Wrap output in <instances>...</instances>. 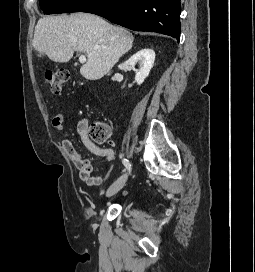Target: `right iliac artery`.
I'll return each instance as SVG.
<instances>
[{
    "label": "right iliac artery",
    "mask_w": 255,
    "mask_h": 272,
    "mask_svg": "<svg viewBox=\"0 0 255 272\" xmlns=\"http://www.w3.org/2000/svg\"><path fill=\"white\" fill-rule=\"evenodd\" d=\"M122 163H123V165L126 167V169H128L129 170V172L131 171V164H130V162L127 160V159H123L122 160Z\"/></svg>",
    "instance_id": "82829eb1"
}]
</instances>
